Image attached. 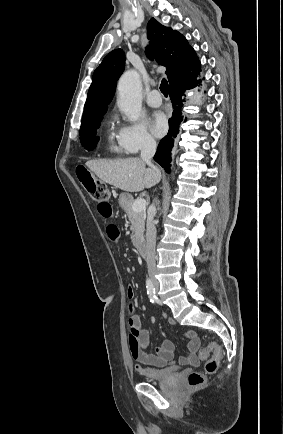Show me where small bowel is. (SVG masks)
I'll list each match as a JSON object with an SVG mask.
<instances>
[{"label":"small bowel","instance_id":"obj_1","mask_svg":"<svg viewBox=\"0 0 283 434\" xmlns=\"http://www.w3.org/2000/svg\"><path fill=\"white\" fill-rule=\"evenodd\" d=\"M98 213L105 219H110L114 216V210L109 201L98 203ZM106 234L111 242H117L119 239V230L115 225H109L106 228ZM127 295L131 302L128 307V326H129V348L132 357L139 363L136 368L140 371L144 366L163 367L170 363L174 356V343L171 340H165L156 347L155 354L147 353L145 350L150 343L149 332L141 325L139 317L136 313V308L133 303L134 291L131 287L128 288ZM169 324L176 325L172 319ZM188 339L189 355L187 357H180L178 363L181 365L199 364L197 357V350L199 347V339L193 330H188L184 333Z\"/></svg>","mask_w":283,"mask_h":434}]
</instances>
